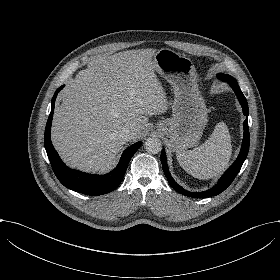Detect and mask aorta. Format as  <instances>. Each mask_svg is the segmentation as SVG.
<instances>
[{
	"label": "aorta",
	"instance_id": "obj_1",
	"mask_svg": "<svg viewBox=\"0 0 280 280\" xmlns=\"http://www.w3.org/2000/svg\"><path fill=\"white\" fill-rule=\"evenodd\" d=\"M145 150L150 154H157L162 150L161 140L157 137H149L144 144Z\"/></svg>",
	"mask_w": 280,
	"mask_h": 280
}]
</instances>
